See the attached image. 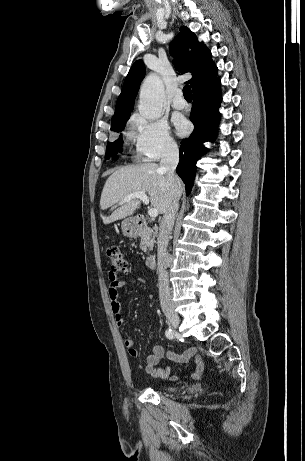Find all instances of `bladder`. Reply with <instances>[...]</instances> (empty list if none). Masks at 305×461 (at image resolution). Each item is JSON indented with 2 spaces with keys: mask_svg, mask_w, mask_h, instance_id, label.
Instances as JSON below:
<instances>
[{
  "mask_svg": "<svg viewBox=\"0 0 305 461\" xmlns=\"http://www.w3.org/2000/svg\"><path fill=\"white\" fill-rule=\"evenodd\" d=\"M159 388L165 391H173L177 389V386L164 384L160 385Z\"/></svg>",
  "mask_w": 305,
  "mask_h": 461,
  "instance_id": "31cf9c89",
  "label": "bladder"
}]
</instances>
